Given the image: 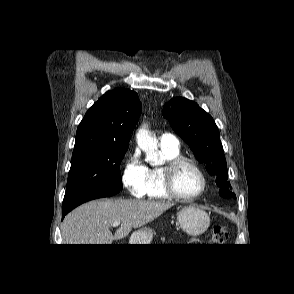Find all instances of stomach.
<instances>
[{
  "mask_svg": "<svg viewBox=\"0 0 294 294\" xmlns=\"http://www.w3.org/2000/svg\"><path fill=\"white\" fill-rule=\"evenodd\" d=\"M177 220L182 230L191 236L201 235L210 225L208 214L194 206L182 208L177 214ZM151 236V229L142 228L134 234V237L137 239V243L135 244H144Z\"/></svg>",
  "mask_w": 294,
  "mask_h": 294,
  "instance_id": "obj_1",
  "label": "stomach"
}]
</instances>
